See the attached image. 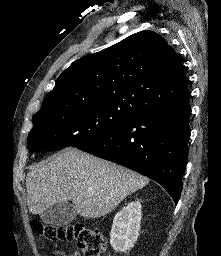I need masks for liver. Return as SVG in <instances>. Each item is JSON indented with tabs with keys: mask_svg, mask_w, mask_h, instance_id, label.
<instances>
[{
	"mask_svg": "<svg viewBox=\"0 0 221 256\" xmlns=\"http://www.w3.org/2000/svg\"><path fill=\"white\" fill-rule=\"evenodd\" d=\"M148 182L125 167L68 148L31 168L26 177L27 204L31 213L42 215L56 203L72 201L78 215L95 219Z\"/></svg>",
	"mask_w": 221,
	"mask_h": 256,
	"instance_id": "liver-1",
	"label": "liver"
}]
</instances>
